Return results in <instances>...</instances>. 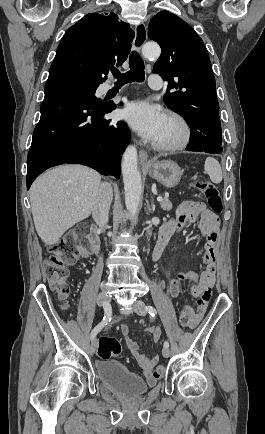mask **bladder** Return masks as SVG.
Instances as JSON below:
<instances>
[{
	"label": "bladder",
	"instance_id": "bladder-1",
	"mask_svg": "<svg viewBox=\"0 0 265 434\" xmlns=\"http://www.w3.org/2000/svg\"><path fill=\"white\" fill-rule=\"evenodd\" d=\"M96 371L101 381L122 398H139L148 391L146 382L117 360H99Z\"/></svg>",
	"mask_w": 265,
	"mask_h": 434
}]
</instances>
